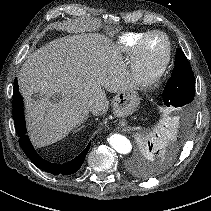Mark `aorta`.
<instances>
[{
	"mask_svg": "<svg viewBox=\"0 0 211 211\" xmlns=\"http://www.w3.org/2000/svg\"><path fill=\"white\" fill-rule=\"evenodd\" d=\"M109 143L120 154H128L132 149L131 142L121 134L111 135Z\"/></svg>",
	"mask_w": 211,
	"mask_h": 211,
	"instance_id": "aorta-1",
	"label": "aorta"
}]
</instances>
